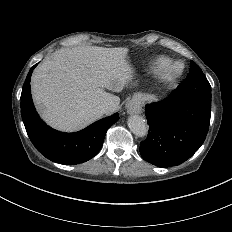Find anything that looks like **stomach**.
<instances>
[{
  "instance_id": "1",
  "label": "stomach",
  "mask_w": 232,
  "mask_h": 232,
  "mask_svg": "<svg viewBox=\"0 0 232 232\" xmlns=\"http://www.w3.org/2000/svg\"><path fill=\"white\" fill-rule=\"evenodd\" d=\"M155 98L151 94L146 93H135L132 100L135 101L138 105L143 106L145 102L153 101Z\"/></svg>"
}]
</instances>
